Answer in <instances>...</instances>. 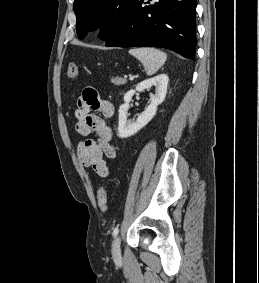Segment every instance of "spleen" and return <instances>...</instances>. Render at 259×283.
<instances>
[{
    "label": "spleen",
    "instance_id": "1",
    "mask_svg": "<svg viewBox=\"0 0 259 283\" xmlns=\"http://www.w3.org/2000/svg\"><path fill=\"white\" fill-rule=\"evenodd\" d=\"M129 54L141 61L149 76L155 74L167 59V55L164 52L149 47L130 49Z\"/></svg>",
    "mask_w": 259,
    "mask_h": 283
}]
</instances>
